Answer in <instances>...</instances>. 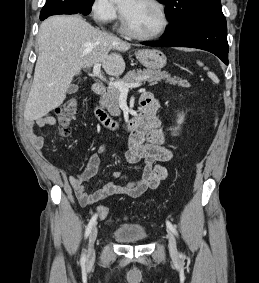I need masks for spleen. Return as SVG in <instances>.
<instances>
[{"label": "spleen", "mask_w": 259, "mask_h": 283, "mask_svg": "<svg viewBox=\"0 0 259 283\" xmlns=\"http://www.w3.org/2000/svg\"><path fill=\"white\" fill-rule=\"evenodd\" d=\"M197 63H198V65H200V66L203 65L200 61H198ZM208 75H209V77H211V78H213V79L216 78L215 75H214L213 73H211V72H209Z\"/></svg>", "instance_id": "3e777b00"}]
</instances>
